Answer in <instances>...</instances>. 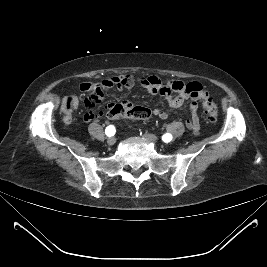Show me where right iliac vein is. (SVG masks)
Wrapping results in <instances>:
<instances>
[{
  "instance_id": "63e3f726",
  "label": "right iliac vein",
  "mask_w": 267,
  "mask_h": 267,
  "mask_svg": "<svg viewBox=\"0 0 267 267\" xmlns=\"http://www.w3.org/2000/svg\"><path fill=\"white\" fill-rule=\"evenodd\" d=\"M116 143V138L115 137H109L108 139H107V144L109 145V146H112V145H114Z\"/></svg>"
}]
</instances>
